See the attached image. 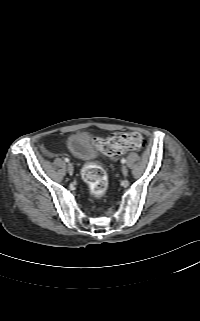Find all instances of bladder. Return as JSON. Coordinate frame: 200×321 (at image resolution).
I'll list each match as a JSON object with an SVG mask.
<instances>
[{
    "mask_svg": "<svg viewBox=\"0 0 200 321\" xmlns=\"http://www.w3.org/2000/svg\"><path fill=\"white\" fill-rule=\"evenodd\" d=\"M66 144L69 152L79 160L89 161L97 155V145L87 132L77 131L70 134Z\"/></svg>",
    "mask_w": 200,
    "mask_h": 321,
    "instance_id": "1",
    "label": "bladder"
}]
</instances>
